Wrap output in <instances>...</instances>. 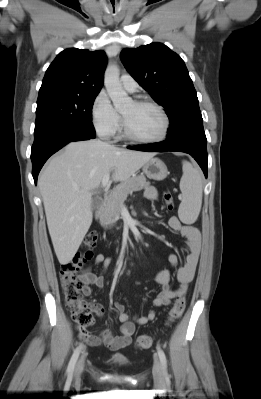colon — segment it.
<instances>
[{
    "mask_svg": "<svg viewBox=\"0 0 261 399\" xmlns=\"http://www.w3.org/2000/svg\"><path fill=\"white\" fill-rule=\"evenodd\" d=\"M163 200L168 209L173 208L174 202L171 193L165 192ZM97 242L98 234L95 232H89L84 237L83 241L85 251L78 253L71 261L63 264L59 274L62 293L67 309L69 310L77 329L83 334L86 333L87 328L93 322V309L90 304L82 300L81 287L77 280V275L81 267L92 258V250L96 247ZM185 306V298L179 296L169 312L168 322L172 323L179 319L184 312ZM152 343V337L141 335L136 339L135 346L138 349H148L151 347Z\"/></svg>",
    "mask_w": 261,
    "mask_h": 399,
    "instance_id": "colon-1",
    "label": "colon"
}]
</instances>
